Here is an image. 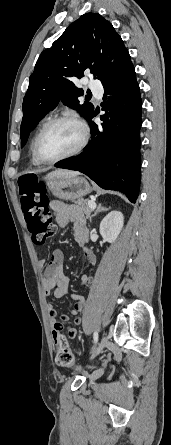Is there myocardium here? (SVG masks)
Here are the masks:
<instances>
[{
    "instance_id": "obj_1",
    "label": "myocardium",
    "mask_w": 171,
    "mask_h": 445,
    "mask_svg": "<svg viewBox=\"0 0 171 445\" xmlns=\"http://www.w3.org/2000/svg\"><path fill=\"white\" fill-rule=\"evenodd\" d=\"M71 122L74 123L80 130V134H81V138H80V142L79 144L76 146L75 149H73L72 151H70L69 153L58 157L56 159H52V160H47L45 158H43L39 152V142L40 139L43 135V133L45 132V130L52 124L57 123V122ZM89 139V132H88V128L86 126V124L77 116L75 115H71V114H62V115H57L54 117H51L50 119H48L39 129L34 142H33V154L35 159L40 163V164H44V165H53L56 164L58 162H61L63 160L72 158L76 155H78L86 146L87 142Z\"/></svg>"
}]
</instances>
